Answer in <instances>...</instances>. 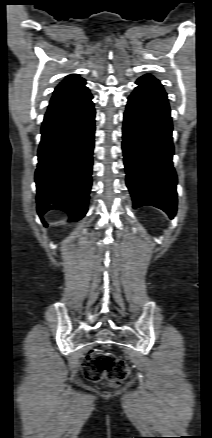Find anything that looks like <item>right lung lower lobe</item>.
<instances>
[{"label":"right lung lower lobe","instance_id":"1","mask_svg":"<svg viewBox=\"0 0 212 438\" xmlns=\"http://www.w3.org/2000/svg\"><path fill=\"white\" fill-rule=\"evenodd\" d=\"M91 100L89 93L48 107L35 172L39 216L57 209L78 221L87 212L95 133Z\"/></svg>","mask_w":212,"mask_h":438}]
</instances>
